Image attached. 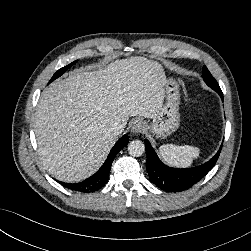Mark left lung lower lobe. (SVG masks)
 I'll return each mask as SVG.
<instances>
[{
    "label": "left lung lower lobe",
    "mask_w": 251,
    "mask_h": 251,
    "mask_svg": "<svg viewBox=\"0 0 251 251\" xmlns=\"http://www.w3.org/2000/svg\"><path fill=\"white\" fill-rule=\"evenodd\" d=\"M223 100V93L220 88H214ZM147 153L146 168L150 181L162 190L179 192L191 188L199 182L216 164L221 148L206 163L193 168H172L163 164L150 145L145 140Z\"/></svg>",
    "instance_id": "obj_1"
}]
</instances>
